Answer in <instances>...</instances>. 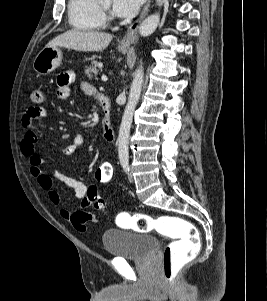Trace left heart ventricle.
<instances>
[{"label": "left heart ventricle", "instance_id": "1", "mask_svg": "<svg viewBox=\"0 0 267 301\" xmlns=\"http://www.w3.org/2000/svg\"><path fill=\"white\" fill-rule=\"evenodd\" d=\"M100 4L109 10L110 6H111V0H99Z\"/></svg>", "mask_w": 267, "mask_h": 301}]
</instances>
